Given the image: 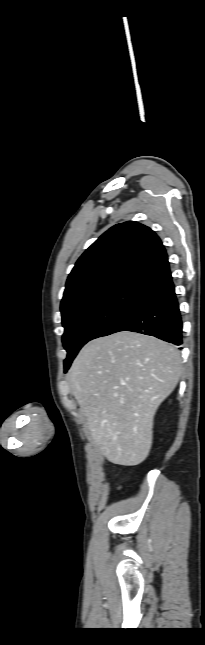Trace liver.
<instances>
[{
	"label": "liver",
	"instance_id": "6515ba94",
	"mask_svg": "<svg viewBox=\"0 0 205 645\" xmlns=\"http://www.w3.org/2000/svg\"><path fill=\"white\" fill-rule=\"evenodd\" d=\"M181 354L165 341L122 331L88 342L73 361V395L91 440L114 464L143 462L160 404L181 376Z\"/></svg>",
	"mask_w": 205,
	"mask_h": 645
}]
</instances>
